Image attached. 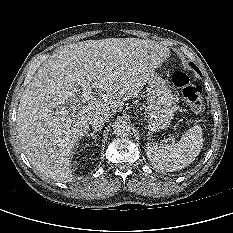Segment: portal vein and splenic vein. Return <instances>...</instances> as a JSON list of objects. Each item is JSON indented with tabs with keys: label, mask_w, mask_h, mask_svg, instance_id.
Returning a JSON list of instances; mask_svg holds the SVG:
<instances>
[{
	"label": "portal vein and splenic vein",
	"mask_w": 233,
	"mask_h": 233,
	"mask_svg": "<svg viewBox=\"0 0 233 233\" xmlns=\"http://www.w3.org/2000/svg\"><path fill=\"white\" fill-rule=\"evenodd\" d=\"M77 82L82 88L81 102L86 103L91 99V90L94 87V85L89 84L83 77H78ZM58 113L65 115L69 113V110L63 107L58 111Z\"/></svg>",
	"instance_id": "1"
}]
</instances>
